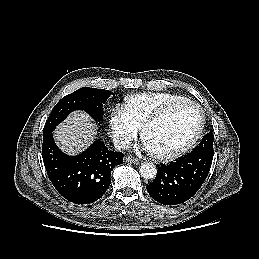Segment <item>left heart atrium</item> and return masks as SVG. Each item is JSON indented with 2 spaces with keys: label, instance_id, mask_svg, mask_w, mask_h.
Wrapping results in <instances>:
<instances>
[{
  "label": "left heart atrium",
  "instance_id": "obj_1",
  "mask_svg": "<svg viewBox=\"0 0 259 259\" xmlns=\"http://www.w3.org/2000/svg\"><path fill=\"white\" fill-rule=\"evenodd\" d=\"M141 148H142L143 150H145V151H150V152H151V150H150L148 144H147L145 141H143V143H142V145H141Z\"/></svg>",
  "mask_w": 259,
  "mask_h": 259
}]
</instances>
